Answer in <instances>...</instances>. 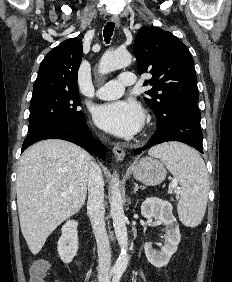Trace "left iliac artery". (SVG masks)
Instances as JSON below:
<instances>
[{"mask_svg": "<svg viewBox=\"0 0 232 282\" xmlns=\"http://www.w3.org/2000/svg\"><path fill=\"white\" fill-rule=\"evenodd\" d=\"M121 273H116L115 276L113 277L112 282H119L121 278Z\"/></svg>", "mask_w": 232, "mask_h": 282, "instance_id": "44dca946", "label": "left iliac artery"}]
</instances>
